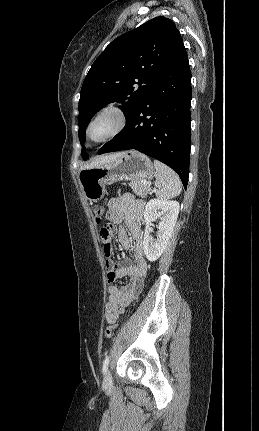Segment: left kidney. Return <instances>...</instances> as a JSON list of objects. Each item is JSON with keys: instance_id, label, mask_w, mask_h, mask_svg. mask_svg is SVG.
Returning <instances> with one entry per match:
<instances>
[{"instance_id": "obj_1", "label": "left kidney", "mask_w": 259, "mask_h": 431, "mask_svg": "<svg viewBox=\"0 0 259 431\" xmlns=\"http://www.w3.org/2000/svg\"><path fill=\"white\" fill-rule=\"evenodd\" d=\"M179 202L173 200L152 199L144 210V219L146 228L143 239V249L146 258L153 262L156 261L163 251L172 236V232L179 214ZM160 214L161 221L158 225L156 239L151 238L150 224Z\"/></svg>"}]
</instances>
